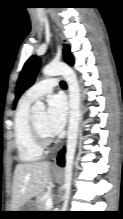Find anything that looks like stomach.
<instances>
[{"mask_svg":"<svg viewBox=\"0 0 123 219\" xmlns=\"http://www.w3.org/2000/svg\"><path fill=\"white\" fill-rule=\"evenodd\" d=\"M52 173L54 174V176H55L56 178L59 177V172H58V171L53 170ZM35 209H36V204H35L34 202L29 201V202H27L26 204H24V205L22 206V208H21L19 211H35ZM19 215H21V216H26V215H28V214L25 213V212H22V213H20Z\"/></svg>","mask_w":123,"mask_h":219,"instance_id":"0dacf381","label":"stomach"}]
</instances>
